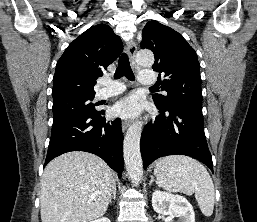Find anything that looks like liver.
Segmentation results:
<instances>
[{"label":"liver","instance_id":"1","mask_svg":"<svg viewBox=\"0 0 257 222\" xmlns=\"http://www.w3.org/2000/svg\"><path fill=\"white\" fill-rule=\"evenodd\" d=\"M116 183L110 167L91 153L73 151L53 159L41 182L42 222H91L102 217Z\"/></svg>","mask_w":257,"mask_h":222}]
</instances>
